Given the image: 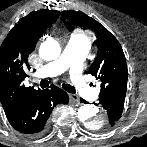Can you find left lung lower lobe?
<instances>
[{
  "mask_svg": "<svg viewBox=\"0 0 147 147\" xmlns=\"http://www.w3.org/2000/svg\"><path fill=\"white\" fill-rule=\"evenodd\" d=\"M124 94H113L108 97H103L99 99V102L95 105H100L103 107L108 114V124L107 127H112L120 119L122 111L124 108ZM83 102V100H80Z\"/></svg>",
  "mask_w": 147,
  "mask_h": 147,
  "instance_id": "0a47b994",
  "label": "left lung lower lobe"
}]
</instances>
